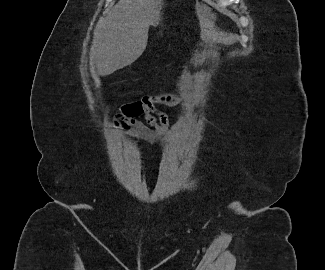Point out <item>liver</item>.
Listing matches in <instances>:
<instances>
[{"label":"liver","mask_w":325,"mask_h":270,"mask_svg":"<svg viewBox=\"0 0 325 270\" xmlns=\"http://www.w3.org/2000/svg\"><path fill=\"white\" fill-rule=\"evenodd\" d=\"M162 6L161 0H120L107 11L96 26L90 50L98 74L109 75L142 55L150 25L161 20ZM200 20L209 25L207 19Z\"/></svg>","instance_id":"6515ba94"}]
</instances>
